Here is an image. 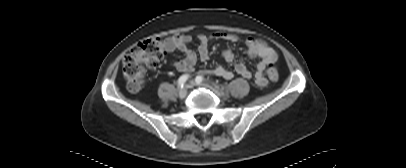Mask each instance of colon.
Returning <instances> with one entry per match:
<instances>
[{
	"label": "colon",
	"instance_id": "5ec220e1",
	"mask_svg": "<svg viewBox=\"0 0 406 168\" xmlns=\"http://www.w3.org/2000/svg\"><path fill=\"white\" fill-rule=\"evenodd\" d=\"M165 55L164 41L160 37H150L137 44L123 59L122 71L126 87L131 92L139 91L144 84L146 68L159 66ZM268 76L272 82L279 79L273 65L268 67Z\"/></svg>",
	"mask_w": 406,
	"mask_h": 168
}]
</instances>
